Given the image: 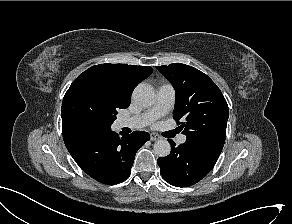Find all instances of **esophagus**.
Instances as JSON below:
<instances>
[{
	"instance_id": "esophagus-1",
	"label": "esophagus",
	"mask_w": 292,
	"mask_h": 224,
	"mask_svg": "<svg viewBox=\"0 0 292 224\" xmlns=\"http://www.w3.org/2000/svg\"><path fill=\"white\" fill-rule=\"evenodd\" d=\"M150 139H151L152 141H156V140L161 139V137H160L158 134H156V133H151V134H150Z\"/></svg>"
}]
</instances>
